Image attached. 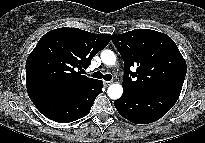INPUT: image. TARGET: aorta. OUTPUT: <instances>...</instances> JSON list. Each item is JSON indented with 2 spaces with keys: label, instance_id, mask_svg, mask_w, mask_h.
<instances>
[{
  "label": "aorta",
  "instance_id": "1",
  "mask_svg": "<svg viewBox=\"0 0 205 143\" xmlns=\"http://www.w3.org/2000/svg\"><path fill=\"white\" fill-rule=\"evenodd\" d=\"M101 60L105 65L113 66L116 62V55L111 50H103L101 52ZM123 88L121 84L114 83L108 87L107 94L110 99L116 100L122 96Z\"/></svg>",
  "mask_w": 205,
  "mask_h": 143
}]
</instances>
